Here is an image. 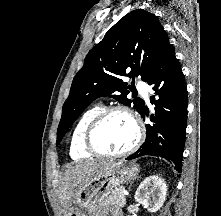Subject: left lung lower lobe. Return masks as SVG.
Masks as SVG:
<instances>
[{
  "instance_id": "0a47b994",
  "label": "left lung lower lobe",
  "mask_w": 221,
  "mask_h": 216,
  "mask_svg": "<svg viewBox=\"0 0 221 216\" xmlns=\"http://www.w3.org/2000/svg\"><path fill=\"white\" fill-rule=\"evenodd\" d=\"M146 82L154 91L150 101L155 105V112L150 115L151 124L146 125L144 144L126 159L144 155L161 156L173 163L180 173L186 137L187 87L170 43L164 47ZM140 115L143 119L148 116L145 108Z\"/></svg>"
}]
</instances>
